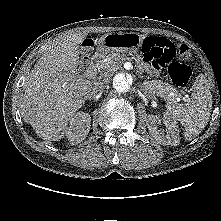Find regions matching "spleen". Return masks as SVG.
<instances>
[{"mask_svg":"<svg viewBox=\"0 0 221 221\" xmlns=\"http://www.w3.org/2000/svg\"><path fill=\"white\" fill-rule=\"evenodd\" d=\"M167 115L174 121H179L184 127V137L187 140L195 138L207 125L212 109V95L202 79L194 84L190 101L177 103L173 98L167 99Z\"/></svg>","mask_w":221,"mask_h":221,"instance_id":"3e777b00","label":"spleen"}]
</instances>
